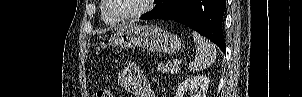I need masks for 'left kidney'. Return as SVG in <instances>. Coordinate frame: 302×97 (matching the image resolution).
Segmentation results:
<instances>
[{
	"mask_svg": "<svg viewBox=\"0 0 302 97\" xmlns=\"http://www.w3.org/2000/svg\"><path fill=\"white\" fill-rule=\"evenodd\" d=\"M208 87V77H188L178 86L175 97H206Z\"/></svg>",
	"mask_w": 302,
	"mask_h": 97,
	"instance_id": "1",
	"label": "left kidney"
}]
</instances>
